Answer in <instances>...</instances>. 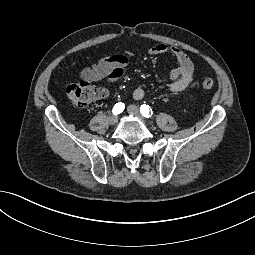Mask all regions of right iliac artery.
I'll return each instance as SVG.
<instances>
[{
	"label": "right iliac artery",
	"instance_id": "obj_1",
	"mask_svg": "<svg viewBox=\"0 0 255 255\" xmlns=\"http://www.w3.org/2000/svg\"><path fill=\"white\" fill-rule=\"evenodd\" d=\"M124 108H125L124 103L119 102V103L114 105L112 112H113L114 115H118L121 112H123Z\"/></svg>",
	"mask_w": 255,
	"mask_h": 255
}]
</instances>
